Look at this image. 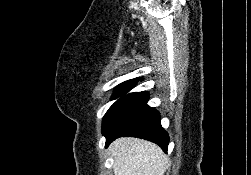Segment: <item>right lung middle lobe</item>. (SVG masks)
Listing matches in <instances>:
<instances>
[{
  "label": "right lung middle lobe",
  "mask_w": 251,
  "mask_h": 175,
  "mask_svg": "<svg viewBox=\"0 0 251 175\" xmlns=\"http://www.w3.org/2000/svg\"><path fill=\"white\" fill-rule=\"evenodd\" d=\"M137 82H138L137 80L132 79V80H128V81H125V82L121 83L120 85L117 86L113 98L121 96L128 89H130L131 87H133Z\"/></svg>",
  "instance_id": "obj_1"
}]
</instances>
